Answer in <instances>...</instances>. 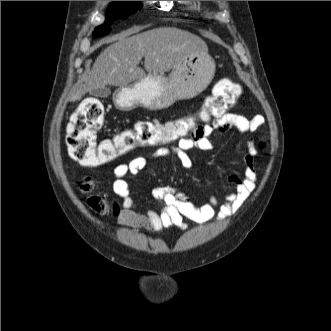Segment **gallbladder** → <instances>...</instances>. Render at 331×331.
<instances>
[{
	"label": "gallbladder",
	"instance_id": "obj_1",
	"mask_svg": "<svg viewBox=\"0 0 331 331\" xmlns=\"http://www.w3.org/2000/svg\"><path fill=\"white\" fill-rule=\"evenodd\" d=\"M111 94V91L107 87H100L97 89H93L90 92V95L95 98H107Z\"/></svg>",
	"mask_w": 331,
	"mask_h": 331
}]
</instances>
